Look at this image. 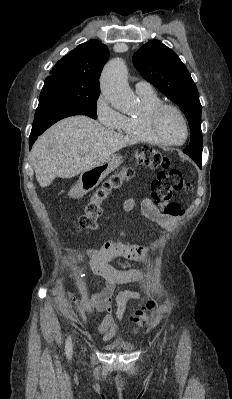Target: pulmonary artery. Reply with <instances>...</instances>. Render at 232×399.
Instances as JSON below:
<instances>
[{
  "instance_id": "pulmonary-artery-1",
  "label": "pulmonary artery",
  "mask_w": 232,
  "mask_h": 399,
  "mask_svg": "<svg viewBox=\"0 0 232 399\" xmlns=\"http://www.w3.org/2000/svg\"><path fill=\"white\" fill-rule=\"evenodd\" d=\"M138 96H153V83H147V81H137Z\"/></svg>"
}]
</instances>
